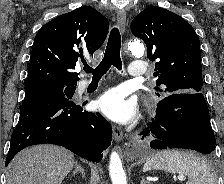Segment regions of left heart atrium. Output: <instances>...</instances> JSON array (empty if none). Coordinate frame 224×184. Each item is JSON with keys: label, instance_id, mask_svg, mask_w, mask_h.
I'll list each match as a JSON object with an SVG mask.
<instances>
[{"label": "left heart atrium", "instance_id": "obj_1", "mask_svg": "<svg viewBox=\"0 0 224 184\" xmlns=\"http://www.w3.org/2000/svg\"><path fill=\"white\" fill-rule=\"evenodd\" d=\"M98 109L110 119L125 123L135 115V103L127 100L119 89H111L97 101Z\"/></svg>", "mask_w": 224, "mask_h": 184}]
</instances>
